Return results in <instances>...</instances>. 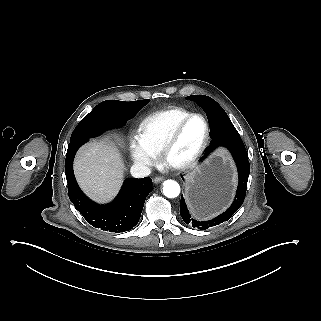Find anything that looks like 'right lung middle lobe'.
I'll return each instance as SVG.
<instances>
[{"instance_id":"right-lung-middle-lobe-1","label":"right lung middle lobe","mask_w":321,"mask_h":321,"mask_svg":"<svg viewBox=\"0 0 321 321\" xmlns=\"http://www.w3.org/2000/svg\"><path fill=\"white\" fill-rule=\"evenodd\" d=\"M111 101V100H108ZM133 104L137 105L139 108L144 107L149 103V100H138V101H132ZM99 105V104H98ZM95 107L89 114H87L77 125V127L74 129L70 141L80 139L83 137H96L100 134H102L104 131L107 130V127L104 125L102 120L96 115V109Z\"/></svg>"}]
</instances>
